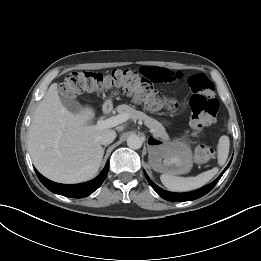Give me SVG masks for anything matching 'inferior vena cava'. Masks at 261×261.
<instances>
[{
    "instance_id": "1",
    "label": "inferior vena cava",
    "mask_w": 261,
    "mask_h": 261,
    "mask_svg": "<svg viewBox=\"0 0 261 261\" xmlns=\"http://www.w3.org/2000/svg\"><path fill=\"white\" fill-rule=\"evenodd\" d=\"M115 137L116 132L114 130L108 129L99 136V142L100 144L107 146L114 141Z\"/></svg>"
}]
</instances>
